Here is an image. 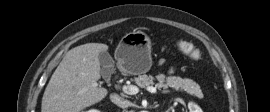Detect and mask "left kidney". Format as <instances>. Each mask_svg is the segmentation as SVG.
I'll list each match as a JSON object with an SVG mask.
<instances>
[{
	"instance_id": "obj_1",
	"label": "left kidney",
	"mask_w": 270,
	"mask_h": 112,
	"mask_svg": "<svg viewBox=\"0 0 270 112\" xmlns=\"http://www.w3.org/2000/svg\"><path fill=\"white\" fill-rule=\"evenodd\" d=\"M189 112H203L201 108H199L197 105L195 104H191L190 105V111Z\"/></svg>"
}]
</instances>
